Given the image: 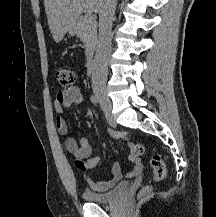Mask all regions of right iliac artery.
<instances>
[{"label":"right iliac artery","instance_id":"1","mask_svg":"<svg viewBox=\"0 0 216 217\" xmlns=\"http://www.w3.org/2000/svg\"><path fill=\"white\" fill-rule=\"evenodd\" d=\"M90 100L95 105L99 102L98 98L95 95H91Z\"/></svg>","mask_w":216,"mask_h":217}]
</instances>
